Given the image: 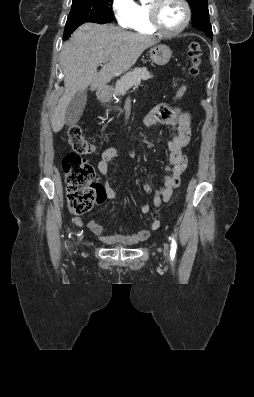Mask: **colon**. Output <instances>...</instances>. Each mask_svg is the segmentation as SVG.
<instances>
[{
	"label": "colon",
	"instance_id": "5ec220e1",
	"mask_svg": "<svg viewBox=\"0 0 254 397\" xmlns=\"http://www.w3.org/2000/svg\"><path fill=\"white\" fill-rule=\"evenodd\" d=\"M202 48L198 42L188 46L190 60L189 74L196 77L199 74ZM186 91L182 86L176 92V98H181ZM68 142L73 151L67 153L62 161L67 189V204L73 215H82L90 211L100 198L99 184L95 181V171L83 155L95 151V146L83 135L79 123L72 124L67 131Z\"/></svg>",
	"mask_w": 254,
	"mask_h": 397
}]
</instances>
